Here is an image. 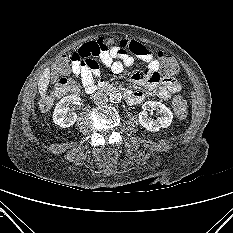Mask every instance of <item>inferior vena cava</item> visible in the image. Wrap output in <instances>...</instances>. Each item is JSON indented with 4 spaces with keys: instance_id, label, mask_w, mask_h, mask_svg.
Instances as JSON below:
<instances>
[{
    "instance_id": "602c4592",
    "label": "inferior vena cava",
    "mask_w": 233,
    "mask_h": 233,
    "mask_svg": "<svg viewBox=\"0 0 233 233\" xmlns=\"http://www.w3.org/2000/svg\"><path fill=\"white\" fill-rule=\"evenodd\" d=\"M94 100L97 105H103L108 102V98L105 95H102L101 93L96 94Z\"/></svg>"
}]
</instances>
